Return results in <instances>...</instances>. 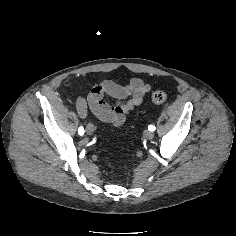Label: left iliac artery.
<instances>
[{"mask_svg": "<svg viewBox=\"0 0 236 236\" xmlns=\"http://www.w3.org/2000/svg\"><path fill=\"white\" fill-rule=\"evenodd\" d=\"M148 129H149V131H154L155 130V126L154 125H149Z\"/></svg>", "mask_w": 236, "mask_h": 236, "instance_id": "44dca946", "label": "left iliac artery"}]
</instances>
